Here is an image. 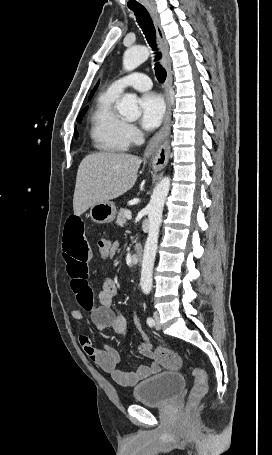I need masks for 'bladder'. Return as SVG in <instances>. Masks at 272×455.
<instances>
[{
  "label": "bladder",
  "instance_id": "bladder-1",
  "mask_svg": "<svg viewBox=\"0 0 272 455\" xmlns=\"http://www.w3.org/2000/svg\"><path fill=\"white\" fill-rule=\"evenodd\" d=\"M182 374L174 371L160 372L137 384L133 389L136 402L162 407L169 404L185 387Z\"/></svg>",
  "mask_w": 272,
  "mask_h": 455
}]
</instances>
